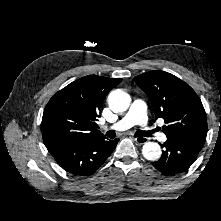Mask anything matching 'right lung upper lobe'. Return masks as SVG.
Masks as SVG:
<instances>
[{
	"label": "right lung upper lobe",
	"mask_w": 221,
	"mask_h": 221,
	"mask_svg": "<svg viewBox=\"0 0 221 221\" xmlns=\"http://www.w3.org/2000/svg\"><path fill=\"white\" fill-rule=\"evenodd\" d=\"M121 81L88 75L58 91L44 109L41 123L44 144L104 136L95 121L106 95Z\"/></svg>",
	"instance_id": "cb5924a9"
}]
</instances>
